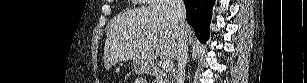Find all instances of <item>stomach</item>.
<instances>
[{"label": "stomach", "mask_w": 307, "mask_h": 83, "mask_svg": "<svg viewBox=\"0 0 307 83\" xmlns=\"http://www.w3.org/2000/svg\"><path fill=\"white\" fill-rule=\"evenodd\" d=\"M144 70H145V68L142 65L137 64L136 71H144Z\"/></svg>", "instance_id": "stomach-1"}]
</instances>
